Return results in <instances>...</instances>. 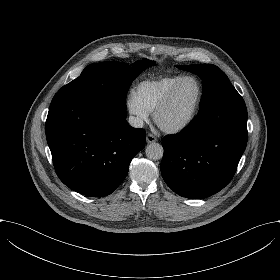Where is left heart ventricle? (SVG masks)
Here are the masks:
<instances>
[{
  "label": "left heart ventricle",
  "instance_id": "left-heart-ventricle-1",
  "mask_svg": "<svg viewBox=\"0 0 280 280\" xmlns=\"http://www.w3.org/2000/svg\"><path fill=\"white\" fill-rule=\"evenodd\" d=\"M200 94L199 84L187 80L175 94L170 107L162 114L161 122L170 125L186 119L195 109Z\"/></svg>",
  "mask_w": 280,
  "mask_h": 280
}]
</instances>
